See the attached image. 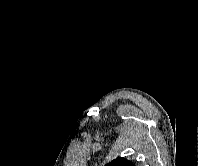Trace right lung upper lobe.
Here are the masks:
<instances>
[{
  "label": "right lung upper lobe",
  "mask_w": 198,
  "mask_h": 166,
  "mask_svg": "<svg viewBox=\"0 0 198 166\" xmlns=\"http://www.w3.org/2000/svg\"><path fill=\"white\" fill-rule=\"evenodd\" d=\"M106 166H134V164L131 161L126 160L124 158H118V159L110 162Z\"/></svg>",
  "instance_id": "obj_1"
}]
</instances>
